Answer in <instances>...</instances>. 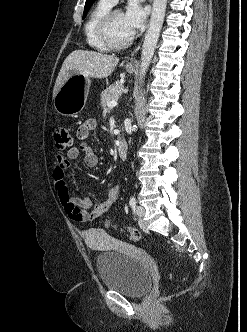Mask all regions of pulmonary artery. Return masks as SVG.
Returning <instances> with one entry per match:
<instances>
[{"instance_id":"pulmonary-artery-1","label":"pulmonary artery","mask_w":247,"mask_h":332,"mask_svg":"<svg viewBox=\"0 0 247 332\" xmlns=\"http://www.w3.org/2000/svg\"><path fill=\"white\" fill-rule=\"evenodd\" d=\"M105 1L111 5H115L118 2V0H105Z\"/></svg>"}]
</instances>
